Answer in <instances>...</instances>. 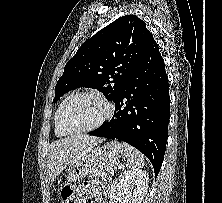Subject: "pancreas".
<instances>
[{"label":"pancreas","mask_w":222,"mask_h":203,"mask_svg":"<svg viewBox=\"0 0 222 203\" xmlns=\"http://www.w3.org/2000/svg\"><path fill=\"white\" fill-rule=\"evenodd\" d=\"M117 168L116 160H108L99 164L97 168L90 174V178L92 177H110L114 174Z\"/></svg>","instance_id":"cf45deb5"}]
</instances>
